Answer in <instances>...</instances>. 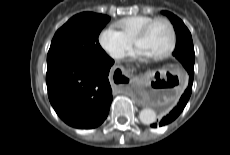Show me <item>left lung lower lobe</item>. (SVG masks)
Listing matches in <instances>:
<instances>
[{
    "mask_svg": "<svg viewBox=\"0 0 230 155\" xmlns=\"http://www.w3.org/2000/svg\"><path fill=\"white\" fill-rule=\"evenodd\" d=\"M182 65L184 66V68L189 74V83L185 91L182 93L177 105L170 111L168 115L163 117V119L159 123L152 124L151 127L153 128H156L157 126H163V125L169 124L170 122L174 121L183 111L184 107L186 106L190 98V95L192 92L193 76H194V63L189 62L187 60H183Z\"/></svg>",
    "mask_w": 230,
    "mask_h": 155,
    "instance_id": "left-lung-lower-lobe-1",
    "label": "left lung lower lobe"
}]
</instances>
